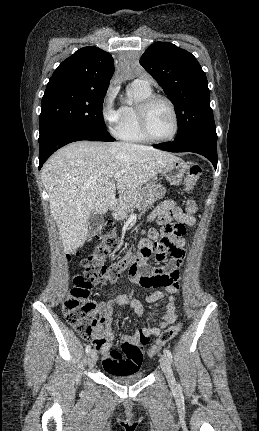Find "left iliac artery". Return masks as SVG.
Here are the masks:
<instances>
[{"label": "left iliac artery", "mask_w": 259, "mask_h": 431, "mask_svg": "<svg viewBox=\"0 0 259 431\" xmlns=\"http://www.w3.org/2000/svg\"><path fill=\"white\" fill-rule=\"evenodd\" d=\"M165 353L167 354V356H168V358H169V360L172 362V353H171V351L169 350V349H166L165 350Z\"/></svg>", "instance_id": "left-iliac-artery-1"}]
</instances>
